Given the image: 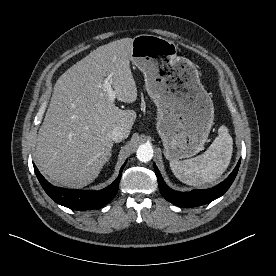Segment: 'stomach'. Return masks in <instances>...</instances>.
Listing matches in <instances>:
<instances>
[{"label":"stomach","mask_w":276,"mask_h":276,"mask_svg":"<svg viewBox=\"0 0 276 276\" xmlns=\"http://www.w3.org/2000/svg\"><path fill=\"white\" fill-rule=\"evenodd\" d=\"M177 49L168 39L141 34L134 37L130 54L157 106V131L170 161L201 151L214 124V105L198 70L177 56Z\"/></svg>","instance_id":"0dacf381"}]
</instances>
